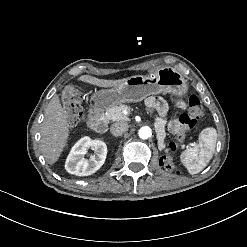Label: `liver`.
Instances as JSON below:
<instances>
[{
	"instance_id": "6515ba94",
	"label": "liver",
	"mask_w": 247,
	"mask_h": 247,
	"mask_svg": "<svg viewBox=\"0 0 247 247\" xmlns=\"http://www.w3.org/2000/svg\"><path fill=\"white\" fill-rule=\"evenodd\" d=\"M79 80L101 87H117L123 82V80H99L89 75H83ZM67 124V116L60 104L59 97L54 96L45 110V119L41 125L42 153L49 164L58 159L65 145V138L68 135Z\"/></svg>"
}]
</instances>
